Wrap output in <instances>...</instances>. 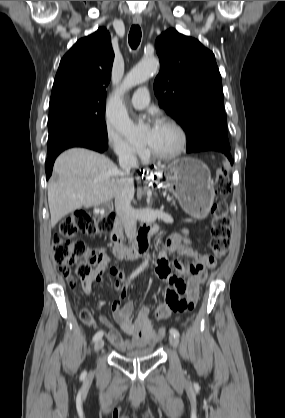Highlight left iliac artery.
Returning a JSON list of instances; mask_svg holds the SVG:
<instances>
[{
  "instance_id": "left-iliac-artery-1",
  "label": "left iliac artery",
  "mask_w": 285,
  "mask_h": 418,
  "mask_svg": "<svg viewBox=\"0 0 285 418\" xmlns=\"http://www.w3.org/2000/svg\"><path fill=\"white\" fill-rule=\"evenodd\" d=\"M169 332H170V334L171 335H173V336H175V337H179V331L177 330V329H175V328H171L170 330H169Z\"/></svg>"
}]
</instances>
